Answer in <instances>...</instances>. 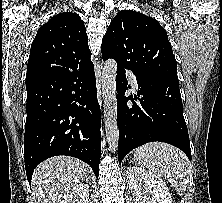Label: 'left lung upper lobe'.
I'll use <instances>...</instances> for the list:
<instances>
[{
	"instance_id": "obj_1",
	"label": "left lung upper lobe",
	"mask_w": 222,
	"mask_h": 203,
	"mask_svg": "<svg viewBox=\"0 0 222 203\" xmlns=\"http://www.w3.org/2000/svg\"><path fill=\"white\" fill-rule=\"evenodd\" d=\"M102 58L138 76L178 80L177 62L167 32L159 22L139 12L123 10L111 21L102 40Z\"/></svg>"
}]
</instances>
